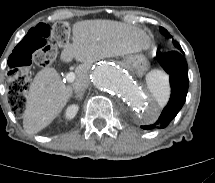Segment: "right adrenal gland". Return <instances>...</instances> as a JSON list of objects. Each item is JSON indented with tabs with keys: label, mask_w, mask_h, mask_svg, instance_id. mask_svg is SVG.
I'll use <instances>...</instances> for the list:
<instances>
[{
	"label": "right adrenal gland",
	"mask_w": 215,
	"mask_h": 183,
	"mask_svg": "<svg viewBox=\"0 0 215 183\" xmlns=\"http://www.w3.org/2000/svg\"><path fill=\"white\" fill-rule=\"evenodd\" d=\"M83 95H84V91L81 92V93L76 94L74 97H75L76 99L78 98L79 100H82Z\"/></svg>",
	"instance_id": "1"
}]
</instances>
